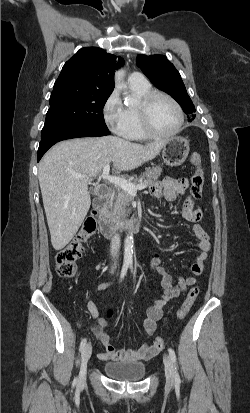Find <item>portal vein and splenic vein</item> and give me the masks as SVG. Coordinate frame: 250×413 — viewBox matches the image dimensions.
I'll use <instances>...</instances> for the list:
<instances>
[{
	"instance_id": "18ae733b",
	"label": "portal vein and splenic vein",
	"mask_w": 250,
	"mask_h": 413,
	"mask_svg": "<svg viewBox=\"0 0 250 413\" xmlns=\"http://www.w3.org/2000/svg\"><path fill=\"white\" fill-rule=\"evenodd\" d=\"M109 171H110V165L108 164L103 168L102 178L121 187L123 190L127 191L130 194H136L137 190H143L147 187L145 183L135 185L132 182L127 181L118 176H111L109 174Z\"/></svg>"
}]
</instances>
